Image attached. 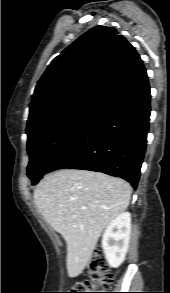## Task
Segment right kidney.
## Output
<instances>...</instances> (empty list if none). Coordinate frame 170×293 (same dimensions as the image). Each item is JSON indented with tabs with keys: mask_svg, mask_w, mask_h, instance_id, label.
Returning <instances> with one entry per match:
<instances>
[{
	"mask_svg": "<svg viewBox=\"0 0 170 293\" xmlns=\"http://www.w3.org/2000/svg\"><path fill=\"white\" fill-rule=\"evenodd\" d=\"M131 233V215L123 212L113 219L102 236V248L108 264L119 267L124 259L129 246Z\"/></svg>",
	"mask_w": 170,
	"mask_h": 293,
	"instance_id": "1",
	"label": "right kidney"
}]
</instances>
